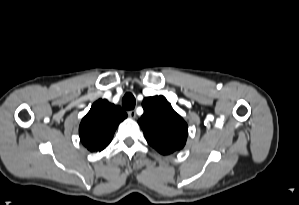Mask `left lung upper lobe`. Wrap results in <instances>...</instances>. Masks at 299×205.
I'll use <instances>...</instances> for the list:
<instances>
[{"label": "left lung upper lobe", "instance_id": "5c2ea615", "mask_svg": "<svg viewBox=\"0 0 299 205\" xmlns=\"http://www.w3.org/2000/svg\"><path fill=\"white\" fill-rule=\"evenodd\" d=\"M142 106L144 114L138 123L147 142L163 155L182 149L187 139V124L166 98L147 97Z\"/></svg>", "mask_w": 299, "mask_h": 205}]
</instances>
